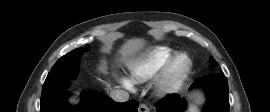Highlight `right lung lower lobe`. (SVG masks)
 Segmentation results:
<instances>
[{
    "mask_svg": "<svg viewBox=\"0 0 270 112\" xmlns=\"http://www.w3.org/2000/svg\"><path fill=\"white\" fill-rule=\"evenodd\" d=\"M69 85V80L60 85L45 82L40 101L41 112H137L139 106L137 101L117 103L96 91L83 93L80 104L69 106L67 103Z\"/></svg>",
    "mask_w": 270,
    "mask_h": 112,
    "instance_id": "right-lung-lower-lobe-1",
    "label": "right lung lower lobe"
}]
</instances>
